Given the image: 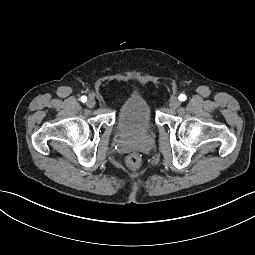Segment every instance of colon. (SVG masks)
I'll list each match as a JSON object with an SVG mask.
<instances>
[{
	"label": "colon",
	"instance_id": "obj_1",
	"mask_svg": "<svg viewBox=\"0 0 255 255\" xmlns=\"http://www.w3.org/2000/svg\"><path fill=\"white\" fill-rule=\"evenodd\" d=\"M127 164L131 169H136L140 164V160L136 155H130L127 159Z\"/></svg>",
	"mask_w": 255,
	"mask_h": 255
}]
</instances>
